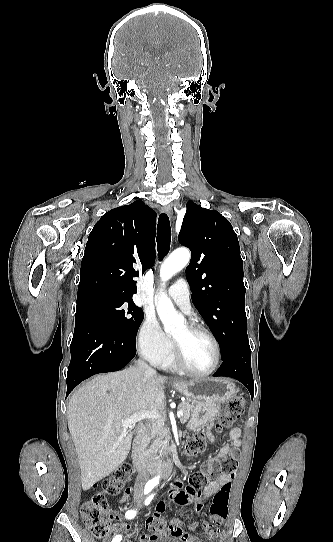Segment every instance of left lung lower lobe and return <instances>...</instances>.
Wrapping results in <instances>:
<instances>
[{"label": "left lung lower lobe", "mask_w": 333, "mask_h": 542, "mask_svg": "<svg viewBox=\"0 0 333 542\" xmlns=\"http://www.w3.org/2000/svg\"><path fill=\"white\" fill-rule=\"evenodd\" d=\"M222 364L213 376H225L237 379L247 387L252 398L254 394L251 369V349L248 339L236 342L229 353L222 358Z\"/></svg>", "instance_id": "obj_1"}]
</instances>
